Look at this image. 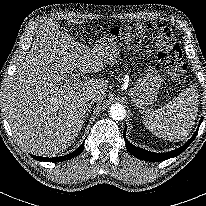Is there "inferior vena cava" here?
Returning <instances> with one entry per match:
<instances>
[{"mask_svg": "<svg viewBox=\"0 0 206 206\" xmlns=\"http://www.w3.org/2000/svg\"><path fill=\"white\" fill-rule=\"evenodd\" d=\"M86 100L91 102V103H93V102H97V103L100 102V98L97 95H95V94H89L87 96Z\"/></svg>", "mask_w": 206, "mask_h": 206, "instance_id": "inferior-vena-cava-1", "label": "inferior vena cava"}]
</instances>
